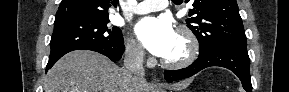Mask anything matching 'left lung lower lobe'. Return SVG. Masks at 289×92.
<instances>
[{"instance_id": "obj_1", "label": "left lung lower lobe", "mask_w": 289, "mask_h": 92, "mask_svg": "<svg viewBox=\"0 0 289 92\" xmlns=\"http://www.w3.org/2000/svg\"><path fill=\"white\" fill-rule=\"evenodd\" d=\"M211 66L225 67L233 71L241 80L243 88L252 92L250 79V59L246 44H225L218 46L209 52L199 55L198 58L187 68L173 71H165L167 82L191 77L204 68Z\"/></svg>"}]
</instances>
